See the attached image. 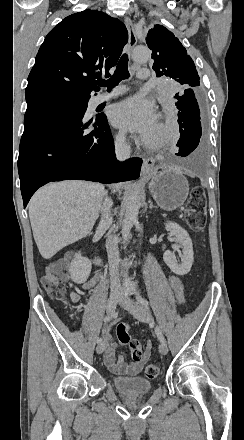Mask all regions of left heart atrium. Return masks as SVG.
<instances>
[{
	"label": "left heart atrium",
	"instance_id": "39dd6f15",
	"mask_svg": "<svg viewBox=\"0 0 244 440\" xmlns=\"http://www.w3.org/2000/svg\"><path fill=\"white\" fill-rule=\"evenodd\" d=\"M114 125L128 131L140 132L158 137L157 111L154 103L135 96L116 104L111 114Z\"/></svg>",
	"mask_w": 244,
	"mask_h": 440
}]
</instances>
